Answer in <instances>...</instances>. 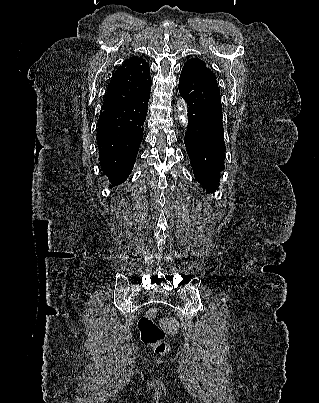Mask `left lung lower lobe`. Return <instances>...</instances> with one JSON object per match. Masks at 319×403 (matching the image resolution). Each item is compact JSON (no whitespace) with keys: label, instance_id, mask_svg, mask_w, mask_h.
<instances>
[{"label":"left lung lower lobe","instance_id":"1","mask_svg":"<svg viewBox=\"0 0 319 403\" xmlns=\"http://www.w3.org/2000/svg\"><path fill=\"white\" fill-rule=\"evenodd\" d=\"M179 92L187 102L188 127L184 143L191 167L202 188L214 192L219 186L226 151L217 80L199 69L184 66Z\"/></svg>","mask_w":319,"mask_h":403}]
</instances>
